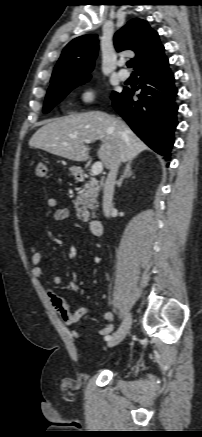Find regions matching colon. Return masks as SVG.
Here are the masks:
<instances>
[{
	"label": "colon",
	"instance_id": "5ec220e1",
	"mask_svg": "<svg viewBox=\"0 0 202 437\" xmlns=\"http://www.w3.org/2000/svg\"><path fill=\"white\" fill-rule=\"evenodd\" d=\"M35 174L37 177L44 178L48 174V166L45 161H41L36 165Z\"/></svg>",
	"mask_w": 202,
	"mask_h": 437
}]
</instances>
